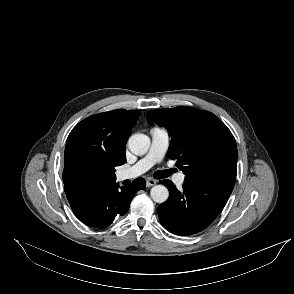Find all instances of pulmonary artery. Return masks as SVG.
Here are the masks:
<instances>
[{
    "mask_svg": "<svg viewBox=\"0 0 294 294\" xmlns=\"http://www.w3.org/2000/svg\"><path fill=\"white\" fill-rule=\"evenodd\" d=\"M170 143L169 132L165 128L154 127L151 129V145L147 154L139 159L134 165L119 171L120 180L132 179L147 172L153 165L163 160ZM174 181L181 186L185 181L184 173L174 176Z\"/></svg>",
    "mask_w": 294,
    "mask_h": 294,
    "instance_id": "e3ab8cb5",
    "label": "pulmonary artery"
}]
</instances>
